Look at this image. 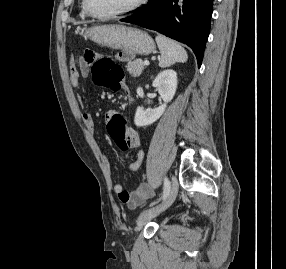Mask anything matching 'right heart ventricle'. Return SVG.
<instances>
[{
    "label": "right heart ventricle",
    "mask_w": 286,
    "mask_h": 269,
    "mask_svg": "<svg viewBox=\"0 0 286 269\" xmlns=\"http://www.w3.org/2000/svg\"><path fill=\"white\" fill-rule=\"evenodd\" d=\"M81 14H82V15H86V12L84 11L83 7H82Z\"/></svg>",
    "instance_id": "right-heart-ventricle-1"
}]
</instances>
